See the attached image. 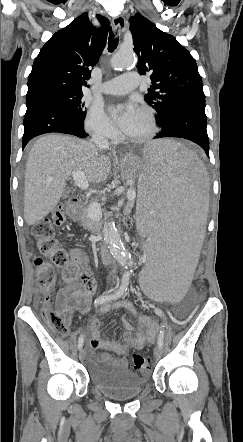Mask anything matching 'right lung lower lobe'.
<instances>
[{
  "instance_id": "1",
  "label": "right lung lower lobe",
  "mask_w": 243,
  "mask_h": 442,
  "mask_svg": "<svg viewBox=\"0 0 243 442\" xmlns=\"http://www.w3.org/2000/svg\"><path fill=\"white\" fill-rule=\"evenodd\" d=\"M23 148L34 137L59 132L86 137L83 121L78 119L63 101L48 95L26 97Z\"/></svg>"
}]
</instances>
